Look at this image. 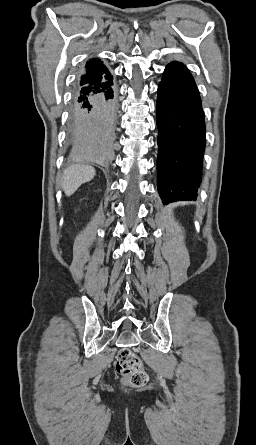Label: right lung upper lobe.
<instances>
[{
	"instance_id": "obj_1",
	"label": "right lung upper lobe",
	"mask_w": 256,
	"mask_h": 445,
	"mask_svg": "<svg viewBox=\"0 0 256 445\" xmlns=\"http://www.w3.org/2000/svg\"><path fill=\"white\" fill-rule=\"evenodd\" d=\"M109 69L100 59H91L87 61L85 70L82 73L76 89L84 86H97L111 77Z\"/></svg>"
}]
</instances>
